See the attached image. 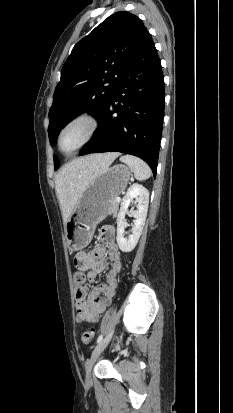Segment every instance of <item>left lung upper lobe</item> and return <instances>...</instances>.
Here are the masks:
<instances>
[{
  "instance_id": "5c2ea615",
  "label": "left lung upper lobe",
  "mask_w": 233,
  "mask_h": 413,
  "mask_svg": "<svg viewBox=\"0 0 233 413\" xmlns=\"http://www.w3.org/2000/svg\"><path fill=\"white\" fill-rule=\"evenodd\" d=\"M147 29L129 12H116L98 25L72 49L61 70L49 111L51 145L67 121L90 110L104 112L125 66ZM55 170L59 163L54 157Z\"/></svg>"
}]
</instances>
